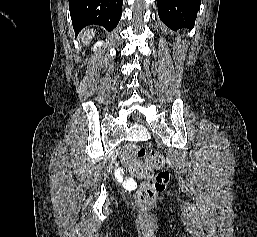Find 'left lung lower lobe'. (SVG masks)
<instances>
[{"label": "left lung lower lobe", "instance_id": "0a47b994", "mask_svg": "<svg viewBox=\"0 0 257 237\" xmlns=\"http://www.w3.org/2000/svg\"><path fill=\"white\" fill-rule=\"evenodd\" d=\"M201 0H157L161 21L169 28H193Z\"/></svg>", "mask_w": 257, "mask_h": 237}]
</instances>
